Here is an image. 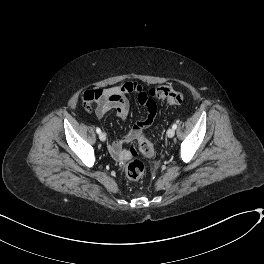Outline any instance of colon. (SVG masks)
<instances>
[{
  "instance_id": "1",
  "label": "colon",
  "mask_w": 264,
  "mask_h": 264,
  "mask_svg": "<svg viewBox=\"0 0 264 264\" xmlns=\"http://www.w3.org/2000/svg\"><path fill=\"white\" fill-rule=\"evenodd\" d=\"M91 98L92 95L89 94L88 99ZM183 99V93L176 91L169 86L154 87L147 92H139L137 95V100L141 104H144L147 108L153 107L156 104V101L168 104H179L183 101ZM136 125L141 128L140 122L136 123ZM138 148L145 157L150 158L155 154V148L152 140L145 135H141L139 137ZM145 170V164L142 161L135 159L128 164L125 174L129 180L136 181L143 177Z\"/></svg>"
}]
</instances>
